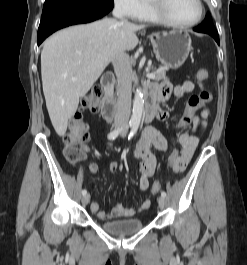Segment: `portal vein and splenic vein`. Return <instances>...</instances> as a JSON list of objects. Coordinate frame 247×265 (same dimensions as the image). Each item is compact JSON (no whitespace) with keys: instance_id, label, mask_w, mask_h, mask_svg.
Listing matches in <instances>:
<instances>
[{"instance_id":"18ae733b","label":"portal vein and splenic vein","mask_w":247,"mask_h":265,"mask_svg":"<svg viewBox=\"0 0 247 265\" xmlns=\"http://www.w3.org/2000/svg\"><path fill=\"white\" fill-rule=\"evenodd\" d=\"M147 77L148 78H151V79H154L155 78V75L154 74H151V73H148L147 74ZM73 80H76V78H73Z\"/></svg>"}]
</instances>
